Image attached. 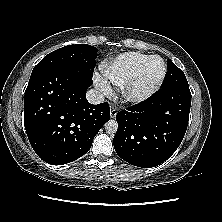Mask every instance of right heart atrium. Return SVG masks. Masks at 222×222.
Here are the masks:
<instances>
[{"label":"right heart atrium","instance_id":"right-heart-atrium-1","mask_svg":"<svg viewBox=\"0 0 222 222\" xmlns=\"http://www.w3.org/2000/svg\"><path fill=\"white\" fill-rule=\"evenodd\" d=\"M94 82L96 87L104 94L109 95L112 93V88L110 86V83L108 82L107 79L99 76V75H95L94 76Z\"/></svg>","mask_w":222,"mask_h":222}]
</instances>
